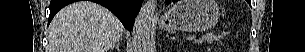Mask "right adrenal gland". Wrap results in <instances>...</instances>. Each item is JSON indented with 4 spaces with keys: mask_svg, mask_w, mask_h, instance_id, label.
Masks as SVG:
<instances>
[{
    "mask_svg": "<svg viewBox=\"0 0 305 52\" xmlns=\"http://www.w3.org/2000/svg\"><path fill=\"white\" fill-rule=\"evenodd\" d=\"M120 45H121V39L116 43V44H114L112 47H111V49H114V48H116L117 49V51H119V47H120Z\"/></svg>",
    "mask_w": 305,
    "mask_h": 52,
    "instance_id": "obj_1",
    "label": "right adrenal gland"
}]
</instances>
